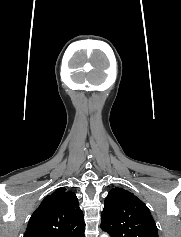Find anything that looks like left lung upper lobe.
I'll use <instances>...</instances> for the list:
<instances>
[{
  "instance_id": "1",
  "label": "left lung upper lobe",
  "mask_w": 181,
  "mask_h": 237,
  "mask_svg": "<svg viewBox=\"0 0 181 237\" xmlns=\"http://www.w3.org/2000/svg\"><path fill=\"white\" fill-rule=\"evenodd\" d=\"M101 228L111 237H158L147 206L122 188L110 190L101 213Z\"/></svg>"
}]
</instances>
